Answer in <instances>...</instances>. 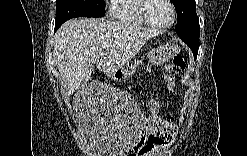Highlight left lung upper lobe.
I'll return each instance as SVG.
<instances>
[{"label": "left lung upper lobe", "mask_w": 247, "mask_h": 156, "mask_svg": "<svg viewBox=\"0 0 247 156\" xmlns=\"http://www.w3.org/2000/svg\"><path fill=\"white\" fill-rule=\"evenodd\" d=\"M177 12L176 33L184 36L190 31L200 28L196 14L195 0H172Z\"/></svg>", "instance_id": "obj_1"}]
</instances>
